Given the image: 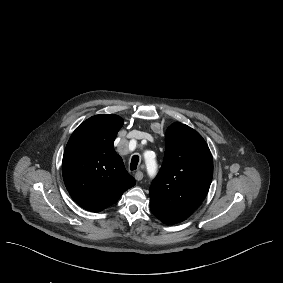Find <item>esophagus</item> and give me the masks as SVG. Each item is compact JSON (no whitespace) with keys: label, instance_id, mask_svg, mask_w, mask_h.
<instances>
[{"label":"esophagus","instance_id":"1","mask_svg":"<svg viewBox=\"0 0 283 283\" xmlns=\"http://www.w3.org/2000/svg\"><path fill=\"white\" fill-rule=\"evenodd\" d=\"M134 177H135V179H136L137 181H140V180L143 179L144 174H143V172H141V171H137V172L135 173Z\"/></svg>","mask_w":283,"mask_h":283}]
</instances>
